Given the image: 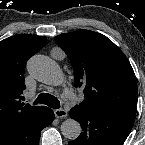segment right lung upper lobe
I'll use <instances>...</instances> for the list:
<instances>
[{
  "label": "right lung upper lobe",
  "mask_w": 145,
  "mask_h": 145,
  "mask_svg": "<svg viewBox=\"0 0 145 145\" xmlns=\"http://www.w3.org/2000/svg\"><path fill=\"white\" fill-rule=\"evenodd\" d=\"M46 41L43 36L18 34L0 42V132L44 108L24 104L20 98L26 88V62Z\"/></svg>",
  "instance_id": "cb5924a9"
}]
</instances>
